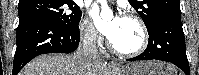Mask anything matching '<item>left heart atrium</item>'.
I'll return each mask as SVG.
<instances>
[{"mask_svg": "<svg viewBox=\"0 0 199 75\" xmlns=\"http://www.w3.org/2000/svg\"><path fill=\"white\" fill-rule=\"evenodd\" d=\"M91 14L95 19L100 32L105 35L109 40H111V38L118 31L123 18L119 15H116L112 20L104 21L100 17V8L98 6L92 8Z\"/></svg>", "mask_w": 199, "mask_h": 75, "instance_id": "39dd6f15", "label": "left heart atrium"}]
</instances>
